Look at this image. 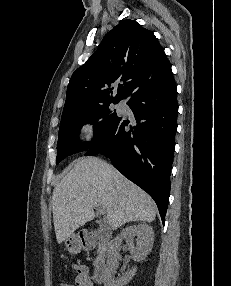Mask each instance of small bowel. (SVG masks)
I'll return each mask as SVG.
<instances>
[{"label":"small bowel","mask_w":231,"mask_h":286,"mask_svg":"<svg viewBox=\"0 0 231 286\" xmlns=\"http://www.w3.org/2000/svg\"><path fill=\"white\" fill-rule=\"evenodd\" d=\"M75 286H93V280L89 275L88 268L85 265L74 264Z\"/></svg>","instance_id":"obj_1"}]
</instances>
